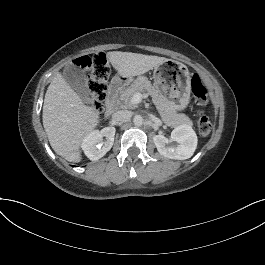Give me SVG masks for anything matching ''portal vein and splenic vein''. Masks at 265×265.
Here are the masks:
<instances>
[{"label":"portal vein and splenic vein","instance_id":"1","mask_svg":"<svg viewBox=\"0 0 265 265\" xmlns=\"http://www.w3.org/2000/svg\"><path fill=\"white\" fill-rule=\"evenodd\" d=\"M142 98H143L142 94L137 92L133 95L131 101L133 104H138L141 102Z\"/></svg>","mask_w":265,"mask_h":265}]
</instances>
